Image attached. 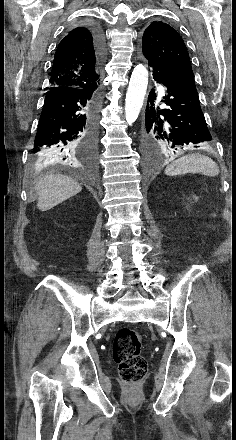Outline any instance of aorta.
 <instances>
[{
	"mask_svg": "<svg viewBox=\"0 0 236 440\" xmlns=\"http://www.w3.org/2000/svg\"><path fill=\"white\" fill-rule=\"evenodd\" d=\"M148 86V71L142 64L133 69L125 99V118L129 124L134 123L143 106Z\"/></svg>",
	"mask_w": 236,
	"mask_h": 440,
	"instance_id": "762f6f07",
	"label": "aorta"
}]
</instances>
